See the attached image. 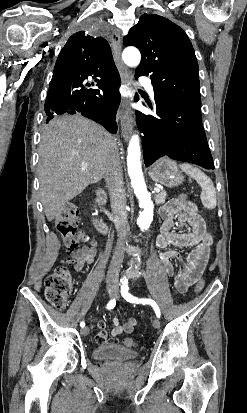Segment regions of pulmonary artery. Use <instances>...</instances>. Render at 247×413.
Instances as JSON below:
<instances>
[{
  "mask_svg": "<svg viewBox=\"0 0 247 413\" xmlns=\"http://www.w3.org/2000/svg\"><path fill=\"white\" fill-rule=\"evenodd\" d=\"M140 81L143 82L142 84L139 83L140 86H145V85H146V87H147V89L149 90V92H150L151 94H154V85H153V83H152V81H151V79H150L149 77H147V78H145V79H140L139 82H140Z\"/></svg>",
  "mask_w": 247,
  "mask_h": 413,
  "instance_id": "pulmonary-artery-1",
  "label": "pulmonary artery"
}]
</instances>
